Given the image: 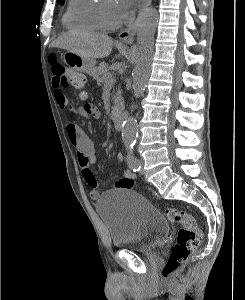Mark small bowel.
<instances>
[{"label":"small bowel","mask_w":245,"mask_h":300,"mask_svg":"<svg viewBox=\"0 0 245 300\" xmlns=\"http://www.w3.org/2000/svg\"><path fill=\"white\" fill-rule=\"evenodd\" d=\"M52 85L54 89V98L61 109L68 108V100L62 90V85L56 77H53ZM77 113L86 120L99 119L101 113L99 109L91 103H86L77 110ZM67 136L70 143L76 149L78 165L82 176L90 190L92 198L100 197L102 190L99 188L95 176L93 165L96 163L95 146L93 141L87 136L83 129L74 122H69L66 126ZM118 162L123 160L121 153L115 156ZM135 175L130 171H124L122 177L113 183L115 189H132L134 186Z\"/></svg>","instance_id":"obj_1"}]
</instances>
